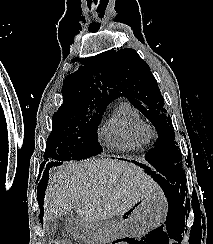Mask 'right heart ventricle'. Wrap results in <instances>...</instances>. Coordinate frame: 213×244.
<instances>
[{
    "instance_id": "obj_1",
    "label": "right heart ventricle",
    "mask_w": 213,
    "mask_h": 244,
    "mask_svg": "<svg viewBox=\"0 0 213 244\" xmlns=\"http://www.w3.org/2000/svg\"><path fill=\"white\" fill-rule=\"evenodd\" d=\"M147 122L139 110L127 100H120L116 108L99 128L103 143L112 150L141 151L151 138L145 133Z\"/></svg>"
}]
</instances>
